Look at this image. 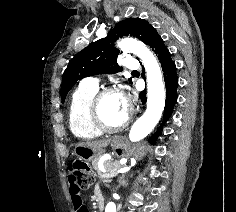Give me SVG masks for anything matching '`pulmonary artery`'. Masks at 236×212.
<instances>
[{
    "instance_id": "obj_1",
    "label": "pulmonary artery",
    "mask_w": 236,
    "mask_h": 212,
    "mask_svg": "<svg viewBox=\"0 0 236 212\" xmlns=\"http://www.w3.org/2000/svg\"><path fill=\"white\" fill-rule=\"evenodd\" d=\"M126 67L129 70H136L139 68V62L135 59H131L127 61ZM98 79L97 78H87L84 80V83L89 86H98Z\"/></svg>"
}]
</instances>
